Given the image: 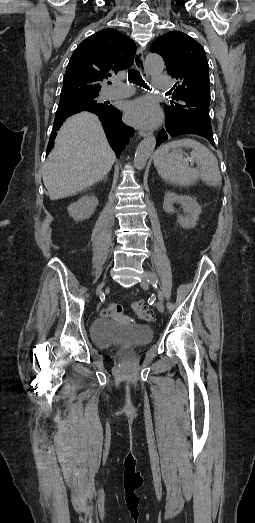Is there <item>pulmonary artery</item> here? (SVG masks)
I'll use <instances>...</instances> for the list:
<instances>
[{
  "label": "pulmonary artery",
  "instance_id": "1",
  "mask_svg": "<svg viewBox=\"0 0 255 523\" xmlns=\"http://www.w3.org/2000/svg\"><path fill=\"white\" fill-rule=\"evenodd\" d=\"M154 88L157 91L165 92L174 89L173 80L166 73H158L154 77ZM134 92V87L124 84L117 79H112V86L106 90V98L117 99L126 97Z\"/></svg>",
  "mask_w": 255,
  "mask_h": 523
}]
</instances>
